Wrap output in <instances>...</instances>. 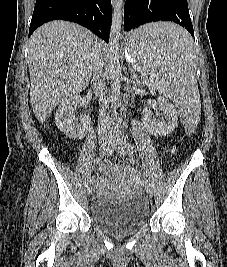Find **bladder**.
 <instances>
[{
	"label": "bladder",
	"instance_id": "obj_1",
	"mask_svg": "<svg viewBox=\"0 0 227 267\" xmlns=\"http://www.w3.org/2000/svg\"><path fill=\"white\" fill-rule=\"evenodd\" d=\"M93 221L114 235H128L137 231L148 220L147 205L130 197L124 201L95 200L91 206Z\"/></svg>",
	"mask_w": 227,
	"mask_h": 267
}]
</instances>
